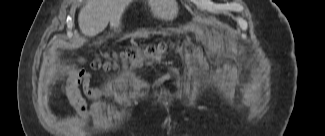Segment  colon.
<instances>
[{
    "label": "colon",
    "mask_w": 325,
    "mask_h": 136,
    "mask_svg": "<svg viewBox=\"0 0 325 136\" xmlns=\"http://www.w3.org/2000/svg\"><path fill=\"white\" fill-rule=\"evenodd\" d=\"M169 51V46L165 44H157V45H149L145 49H141L138 47H131L127 49L125 52L120 55H115L114 60L110 61L109 56H104V59L101 57H96L92 61V67L95 69H117L119 67V63L117 59H120V62L123 65H137L139 64V57L142 53L147 54L150 57H164Z\"/></svg>",
    "instance_id": "5ec220e1"
}]
</instances>
